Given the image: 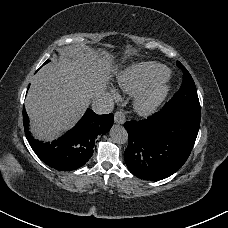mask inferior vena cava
Listing matches in <instances>:
<instances>
[{"mask_svg":"<svg viewBox=\"0 0 228 228\" xmlns=\"http://www.w3.org/2000/svg\"><path fill=\"white\" fill-rule=\"evenodd\" d=\"M92 110L96 114H108L114 109L113 96L110 93L95 94L92 96Z\"/></svg>","mask_w":228,"mask_h":228,"instance_id":"1","label":"inferior vena cava"}]
</instances>
